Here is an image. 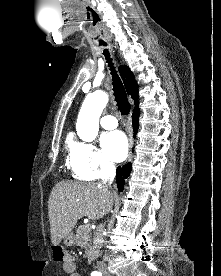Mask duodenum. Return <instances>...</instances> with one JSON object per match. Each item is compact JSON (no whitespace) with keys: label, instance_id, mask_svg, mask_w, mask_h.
I'll return each instance as SVG.
<instances>
[{"label":"duodenum","instance_id":"1","mask_svg":"<svg viewBox=\"0 0 221 276\" xmlns=\"http://www.w3.org/2000/svg\"><path fill=\"white\" fill-rule=\"evenodd\" d=\"M87 255H88L90 258L93 257V252H92L91 249H88V250H87Z\"/></svg>","mask_w":221,"mask_h":276}]
</instances>
